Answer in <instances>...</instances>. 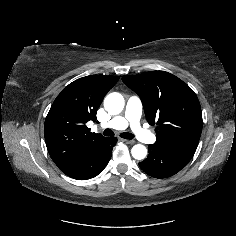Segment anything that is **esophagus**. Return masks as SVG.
<instances>
[{"instance_id": "esophagus-1", "label": "esophagus", "mask_w": 236, "mask_h": 236, "mask_svg": "<svg viewBox=\"0 0 236 236\" xmlns=\"http://www.w3.org/2000/svg\"><path fill=\"white\" fill-rule=\"evenodd\" d=\"M126 144H130V145H133L135 144V141L134 140H123Z\"/></svg>"}]
</instances>
